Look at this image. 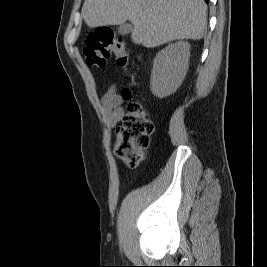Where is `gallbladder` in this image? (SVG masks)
<instances>
[{"label":"gallbladder","instance_id":"bac80fb5","mask_svg":"<svg viewBox=\"0 0 267 267\" xmlns=\"http://www.w3.org/2000/svg\"><path fill=\"white\" fill-rule=\"evenodd\" d=\"M133 29V26L128 23L121 24L118 28V33L121 35H126L130 33Z\"/></svg>","mask_w":267,"mask_h":267}]
</instances>
